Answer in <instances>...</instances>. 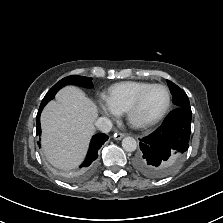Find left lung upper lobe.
Returning a JSON list of instances; mask_svg holds the SVG:
<instances>
[{
	"label": "left lung upper lobe",
	"instance_id": "obj_1",
	"mask_svg": "<svg viewBox=\"0 0 223 223\" xmlns=\"http://www.w3.org/2000/svg\"><path fill=\"white\" fill-rule=\"evenodd\" d=\"M167 84L173 96L172 101L175 107H181L191 110L190 102L186 93L180 87L169 80H167Z\"/></svg>",
	"mask_w": 223,
	"mask_h": 223
}]
</instances>
